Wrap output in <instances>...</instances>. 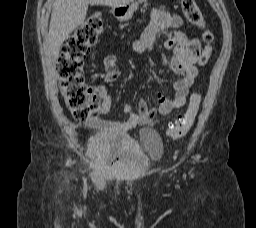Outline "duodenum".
<instances>
[{
    "mask_svg": "<svg viewBox=\"0 0 256 228\" xmlns=\"http://www.w3.org/2000/svg\"><path fill=\"white\" fill-rule=\"evenodd\" d=\"M111 12L116 17H121L125 14L126 8L120 5L112 6Z\"/></svg>",
    "mask_w": 256,
    "mask_h": 228,
    "instance_id": "duodenum-1",
    "label": "duodenum"
}]
</instances>
